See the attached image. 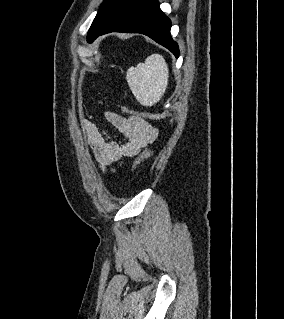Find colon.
Segmentation results:
<instances>
[{
	"instance_id": "1",
	"label": "colon",
	"mask_w": 284,
	"mask_h": 319,
	"mask_svg": "<svg viewBox=\"0 0 284 319\" xmlns=\"http://www.w3.org/2000/svg\"><path fill=\"white\" fill-rule=\"evenodd\" d=\"M120 109L123 113L130 114L132 116L140 117L145 120H164V119H170L172 120V115L168 112H162V113H146V112H138L135 110H132L126 106H120ZM152 156L151 150H145L143 153H141L136 160L133 163V169H137L145 160L150 158Z\"/></svg>"
}]
</instances>
